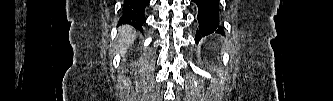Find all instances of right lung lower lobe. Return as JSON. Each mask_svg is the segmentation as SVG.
Instances as JSON below:
<instances>
[{
  "label": "right lung lower lobe",
  "mask_w": 333,
  "mask_h": 101,
  "mask_svg": "<svg viewBox=\"0 0 333 101\" xmlns=\"http://www.w3.org/2000/svg\"><path fill=\"white\" fill-rule=\"evenodd\" d=\"M122 17L120 24H129L142 31L145 23L144 9L149 4V0H124Z\"/></svg>",
  "instance_id": "98d812e1"
}]
</instances>
